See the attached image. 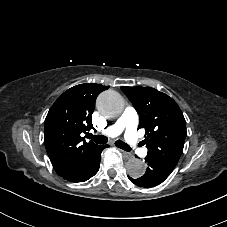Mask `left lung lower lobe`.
<instances>
[{
    "instance_id": "left-lung-lower-lobe-1",
    "label": "left lung lower lobe",
    "mask_w": 227,
    "mask_h": 227,
    "mask_svg": "<svg viewBox=\"0 0 227 227\" xmlns=\"http://www.w3.org/2000/svg\"><path fill=\"white\" fill-rule=\"evenodd\" d=\"M149 167L147 168L145 174L138 178L133 179L128 176V178L138 186L141 187H153L162 183L172 172L173 169L160 164L158 161L145 158Z\"/></svg>"
}]
</instances>
